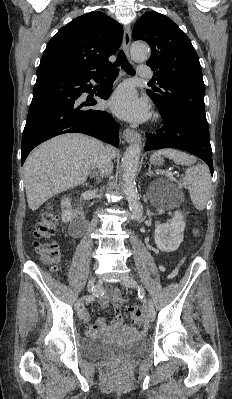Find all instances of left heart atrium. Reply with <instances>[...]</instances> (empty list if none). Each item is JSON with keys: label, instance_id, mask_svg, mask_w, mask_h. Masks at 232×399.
I'll use <instances>...</instances> for the list:
<instances>
[{"label": "left heart atrium", "instance_id": "39dd6f15", "mask_svg": "<svg viewBox=\"0 0 232 399\" xmlns=\"http://www.w3.org/2000/svg\"><path fill=\"white\" fill-rule=\"evenodd\" d=\"M109 108L115 116L133 123L143 122L150 116L147 102L139 99L136 92L127 87H122L115 93Z\"/></svg>", "mask_w": 232, "mask_h": 399}]
</instances>
